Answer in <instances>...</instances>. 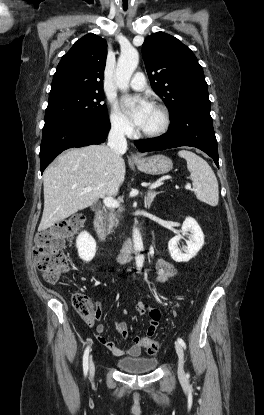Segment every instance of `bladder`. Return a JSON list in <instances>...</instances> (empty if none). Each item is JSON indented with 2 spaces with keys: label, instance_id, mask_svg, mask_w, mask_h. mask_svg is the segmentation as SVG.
<instances>
[{
  "label": "bladder",
  "instance_id": "obj_1",
  "mask_svg": "<svg viewBox=\"0 0 264 415\" xmlns=\"http://www.w3.org/2000/svg\"><path fill=\"white\" fill-rule=\"evenodd\" d=\"M117 366L129 373H144L154 370L158 365V359L152 358H122L117 361Z\"/></svg>",
  "mask_w": 264,
  "mask_h": 415
}]
</instances>
